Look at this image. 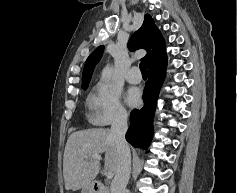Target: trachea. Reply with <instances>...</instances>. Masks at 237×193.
<instances>
[{
	"instance_id": "trachea-1",
	"label": "trachea",
	"mask_w": 237,
	"mask_h": 193,
	"mask_svg": "<svg viewBox=\"0 0 237 193\" xmlns=\"http://www.w3.org/2000/svg\"><path fill=\"white\" fill-rule=\"evenodd\" d=\"M139 67L142 74H147V67L144 62H141Z\"/></svg>"
}]
</instances>
